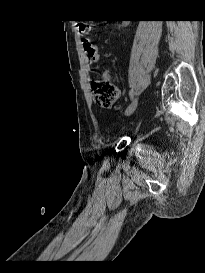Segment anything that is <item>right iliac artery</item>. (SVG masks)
<instances>
[{"instance_id":"82829eb1","label":"right iliac artery","mask_w":205,"mask_h":273,"mask_svg":"<svg viewBox=\"0 0 205 273\" xmlns=\"http://www.w3.org/2000/svg\"><path fill=\"white\" fill-rule=\"evenodd\" d=\"M133 97H134V93H133V91L131 90V91H130V98H131V100H133Z\"/></svg>"}]
</instances>
